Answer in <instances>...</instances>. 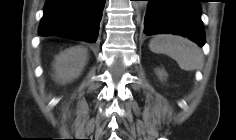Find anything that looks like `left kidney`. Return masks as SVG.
Instances as JSON below:
<instances>
[{"label":"left kidney","mask_w":236,"mask_h":140,"mask_svg":"<svg viewBox=\"0 0 236 140\" xmlns=\"http://www.w3.org/2000/svg\"><path fill=\"white\" fill-rule=\"evenodd\" d=\"M156 73L161 80L165 79L167 76L166 72L163 69H157Z\"/></svg>","instance_id":"1"}]
</instances>
